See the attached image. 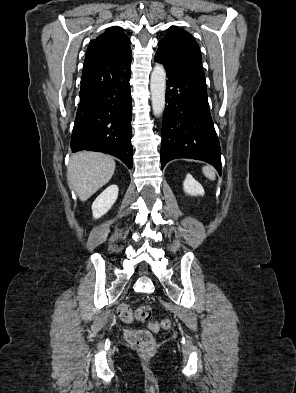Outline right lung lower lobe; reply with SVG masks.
Here are the masks:
<instances>
[{"instance_id":"right-lung-lower-lobe-1","label":"right lung lower lobe","mask_w":296,"mask_h":393,"mask_svg":"<svg viewBox=\"0 0 296 393\" xmlns=\"http://www.w3.org/2000/svg\"><path fill=\"white\" fill-rule=\"evenodd\" d=\"M130 65L131 54L84 61L72 152H104L132 168Z\"/></svg>"}]
</instances>
